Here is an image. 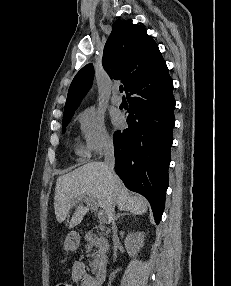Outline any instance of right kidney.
I'll return each instance as SVG.
<instances>
[{"mask_svg": "<svg viewBox=\"0 0 231 286\" xmlns=\"http://www.w3.org/2000/svg\"><path fill=\"white\" fill-rule=\"evenodd\" d=\"M144 245V234L141 232L129 233L125 239V248L130 256L135 255Z\"/></svg>", "mask_w": 231, "mask_h": 286, "instance_id": "ca27d5eb", "label": "right kidney"}]
</instances>
